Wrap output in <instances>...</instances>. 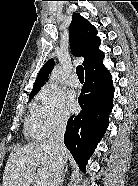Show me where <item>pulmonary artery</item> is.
<instances>
[{
  "mask_svg": "<svg viewBox=\"0 0 138 186\" xmlns=\"http://www.w3.org/2000/svg\"><path fill=\"white\" fill-rule=\"evenodd\" d=\"M69 83L72 87L75 88L79 86V80L75 74L70 77Z\"/></svg>",
  "mask_w": 138,
  "mask_h": 186,
  "instance_id": "1",
  "label": "pulmonary artery"
}]
</instances>
